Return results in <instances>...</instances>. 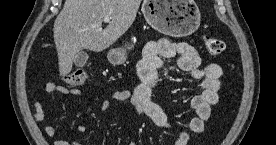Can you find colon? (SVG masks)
Listing matches in <instances>:
<instances>
[{
  "label": "colon",
  "instance_id": "colon-1",
  "mask_svg": "<svg viewBox=\"0 0 276 145\" xmlns=\"http://www.w3.org/2000/svg\"><path fill=\"white\" fill-rule=\"evenodd\" d=\"M202 40L209 54L213 56H218L225 50V43L212 35L205 34ZM87 76V71L85 69L77 68L69 72L64 77V80L71 86H81L85 83Z\"/></svg>",
  "mask_w": 276,
  "mask_h": 145
}]
</instances>
